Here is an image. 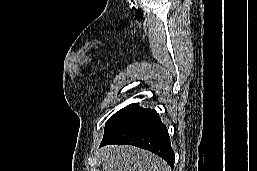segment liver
Masks as SVG:
<instances>
[{"label": "liver", "mask_w": 257, "mask_h": 171, "mask_svg": "<svg viewBox=\"0 0 257 171\" xmlns=\"http://www.w3.org/2000/svg\"><path fill=\"white\" fill-rule=\"evenodd\" d=\"M101 162L103 171H172L155 154L134 146H106Z\"/></svg>", "instance_id": "obj_1"}]
</instances>
